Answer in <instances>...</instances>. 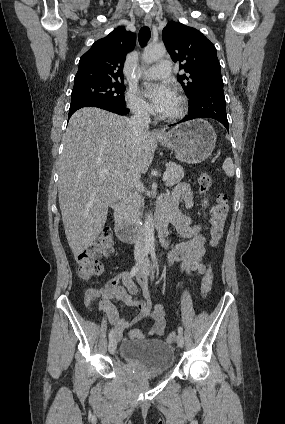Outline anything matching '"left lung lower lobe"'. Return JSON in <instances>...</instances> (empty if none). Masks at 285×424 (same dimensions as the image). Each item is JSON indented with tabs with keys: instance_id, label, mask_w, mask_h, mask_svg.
<instances>
[{
	"instance_id": "left-lung-lower-lobe-1",
	"label": "left lung lower lobe",
	"mask_w": 285,
	"mask_h": 424,
	"mask_svg": "<svg viewBox=\"0 0 285 424\" xmlns=\"http://www.w3.org/2000/svg\"><path fill=\"white\" fill-rule=\"evenodd\" d=\"M196 118L215 119L229 130L223 88L208 89L201 92L194 101L189 103V114L178 123Z\"/></svg>"
}]
</instances>
